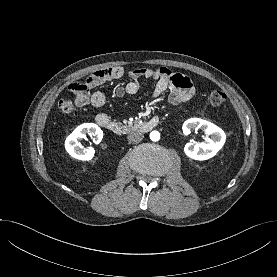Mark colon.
<instances>
[{
    "label": "colon",
    "mask_w": 277,
    "mask_h": 277,
    "mask_svg": "<svg viewBox=\"0 0 277 277\" xmlns=\"http://www.w3.org/2000/svg\"><path fill=\"white\" fill-rule=\"evenodd\" d=\"M76 90H83L84 87L75 85ZM226 101V95L221 90H213L209 94V102L213 106H221ZM60 111L63 114H71L75 110V102L71 100H61L58 104Z\"/></svg>",
    "instance_id": "colon-1"
}]
</instances>
